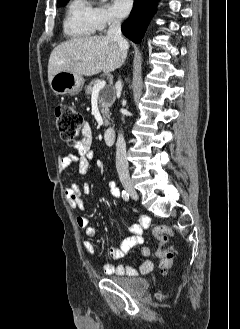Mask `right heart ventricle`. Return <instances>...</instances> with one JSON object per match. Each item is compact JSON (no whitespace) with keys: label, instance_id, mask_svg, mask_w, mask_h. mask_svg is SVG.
I'll return each mask as SVG.
<instances>
[{"label":"right heart ventricle","instance_id":"right-heart-ventricle-1","mask_svg":"<svg viewBox=\"0 0 240 329\" xmlns=\"http://www.w3.org/2000/svg\"><path fill=\"white\" fill-rule=\"evenodd\" d=\"M64 33L70 38H86L93 35V7L88 0H71L63 20Z\"/></svg>","mask_w":240,"mask_h":329}]
</instances>
